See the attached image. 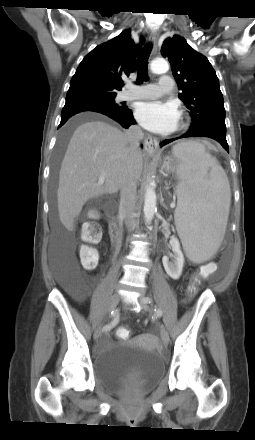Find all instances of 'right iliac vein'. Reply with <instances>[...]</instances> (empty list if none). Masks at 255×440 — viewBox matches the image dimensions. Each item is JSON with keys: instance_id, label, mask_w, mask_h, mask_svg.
<instances>
[{"instance_id": "right-iliac-vein-1", "label": "right iliac vein", "mask_w": 255, "mask_h": 440, "mask_svg": "<svg viewBox=\"0 0 255 440\" xmlns=\"http://www.w3.org/2000/svg\"><path fill=\"white\" fill-rule=\"evenodd\" d=\"M119 300H120V296H119L118 293H115V294H113V295L111 296V298H110V300H109V302H108V305H107V312H108V313H110L111 311L115 310L117 304L119 303ZM101 329H102V326H101V325H99V326L96 328V330H95V332H94V338H95V339H98V338L100 337V335H101Z\"/></svg>"}]
</instances>
